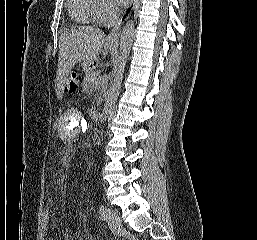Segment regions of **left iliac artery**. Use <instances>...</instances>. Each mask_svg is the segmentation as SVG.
<instances>
[{"label": "left iliac artery", "mask_w": 257, "mask_h": 240, "mask_svg": "<svg viewBox=\"0 0 257 240\" xmlns=\"http://www.w3.org/2000/svg\"><path fill=\"white\" fill-rule=\"evenodd\" d=\"M99 214L101 219L105 218L106 209L102 204L99 206Z\"/></svg>", "instance_id": "1"}]
</instances>
